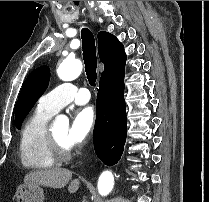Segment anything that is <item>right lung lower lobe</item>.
<instances>
[{"label":"right lung lower lobe","mask_w":209,"mask_h":202,"mask_svg":"<svg viewBox=\"0 0 209 202\" xmlns=\"http://www.w3.org/2000/svg\"><path fill=\"white\" fill-rule=\"evenodd\" d=\"M96 106L94 148L96 155L111 166L119 161L127 136L124 83L99 84Z\"/></svg>","instance_id":"1"}]
</instances>
